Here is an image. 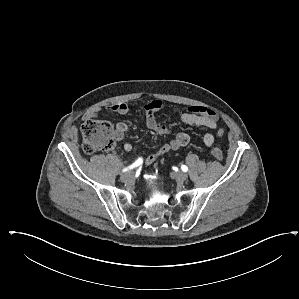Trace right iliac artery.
<instances>
[{"label": "right iliac artery", "mask_w": 299, "mask_h": 299, "mask_svg": "<svg viewBox=\"0 0 299 299\" xmlns=\"http://www.w3.org/2000/svg\"><path fill=\"white\" fill-rule=\"evenodd\" d=\"M142 163H143V159H142V158H138L132 165H130V166L124 168V169L122 170V172H127V171H129V170H132V169H134V168H136V167L142 165Z\"/></svg>", "instance_id": "right-iliac-artery-1"}]
</instances>
